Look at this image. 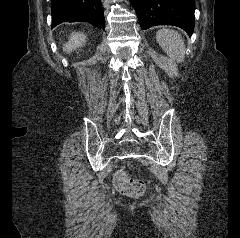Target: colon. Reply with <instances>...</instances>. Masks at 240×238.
<instances>
[{"label":"colon","instance_id":"5ec220e1","mask_svg":"<svg viewBox=\"0 0 240 238\" xmlns=\"http://www.w3.org/2000/svg\"><path fill=\"white\" fill-rule=\"evenodd\" d=\"M116 188L131 197H140L146 191L143 181L129 177L124 171H118L114 177Z\"/></svg>","mask_w":240,"mask_h":238}]
</instances>
